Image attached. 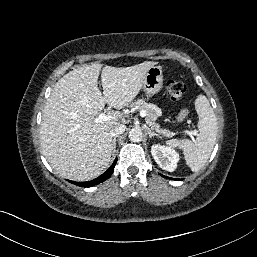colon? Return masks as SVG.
<instances>
[{
	"label": "colon",
	"instance_id": "1",
	"mask_svg": "<svg viewBox=\"0 0 257 257\" xmlns=\"http://www.w3.org/2000/svg\"><path fill=\"white\" fill-rule=\"evenodd\" d=\"M167 92L172 100H179L183 97L186 92V86L183 82L179 80L171 79L167 82ZM188 117L187 109H182L178 114V119L180 121H185Z\"/></svg>",
	"mask_w": 257,
	"mask_h": 257
}]
</instances>
